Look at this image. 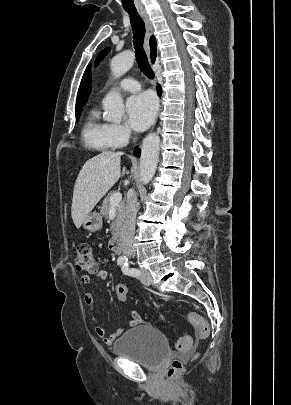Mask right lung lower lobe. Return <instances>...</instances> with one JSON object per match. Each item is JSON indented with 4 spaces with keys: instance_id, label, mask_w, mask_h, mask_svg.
Listing matches in <instances>:
<instances>
[{
    "instance_id": "98d812e1",
    "label": "right lung lower lobe",
    "mask_w": 291,
    "mask_h": 405,
    "mask_svg": "<svg viewBox=\"0 0 291 405\" xmlns=\"http://www.w3.org/2000/svg\"><path fill=\"white\" fill-rule=\"evenodd\" d=\"M157 93H158L159 96H161V88H160L159 85L157 86ZM134 154H135V155H139V154H140L139 149H136V151L134 152Z\"/></svg>"
}]
</instances>
